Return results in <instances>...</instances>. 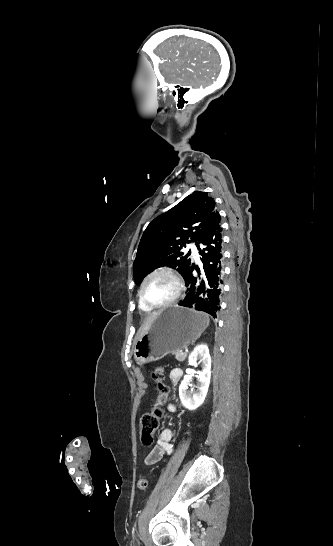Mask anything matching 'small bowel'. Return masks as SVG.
Masks as SVG:
<instances>
[{"label":"small bowel","mask_w":333,"mask_h":546,"mask_svg":"<svg viewBox=\"0 0 333 546\" xmlns=\"http://www.w3.org/2000/svg\"><path fill=\"white\" fill-rule=\"evenodd\" d=\"M183 376V372L179 368H175L170 372V382L173 385H177ZM168 409L172 412L176 411V407L173 404L168 406ZM173 431L170 428H163L160 431L158 440L154 448L148 453L145 457V464L152 465L161 460V458L167 454L170 455L173 453L175 447L172 443L173 440Z\"/></svg>","instance_id":"1"}]
</instances>
